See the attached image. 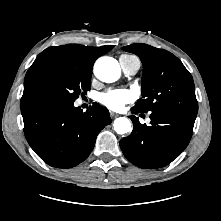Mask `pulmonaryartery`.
<instances>
[{
	"label": "pulmonary artery",
	"mask_w": 221,
	"mask_h": 221,
	"mask_svg": "<svg viewBox=\"0 0 221 221\" xmlns=\"http://www.w3.org/2000/svg\"><path fill=\"white\" fill-rule=\"evenodd\" d=\"M119 64L122 71L127 75H134L140 68V60L134 56L121 55Z\"/></svg>",
	"instance_id": "1"
}]
</instances>
